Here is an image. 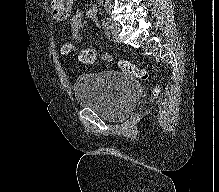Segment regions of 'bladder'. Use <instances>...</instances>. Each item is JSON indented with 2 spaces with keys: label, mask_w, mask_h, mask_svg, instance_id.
Instances as JSON below:
<instances>
[{
  "label": "bladder",
  "mask_w": 219,
  "mask_h": 192,
  "mask_svg": "<svg viewBox=\"0 0 219 192\" xmlns=\"http://www.w3.org/2000/svg\"><path fill=\"white\" fill-rule=\"evenodd\" d=\"M78 106L95 110L107 121L117 122L137 105L140 86L127 74L103 70L78 76L74 81Z\"/></svg>",
  "instance_id": "bladder-1"
}]
</instances>
